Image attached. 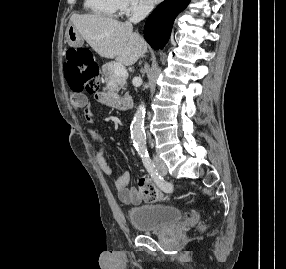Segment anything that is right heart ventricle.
<instances>
[{
    "instance_id": "obj_1",
    "label": "right heart ventricle",
    "mask_w": 286,
    "mask_h": 269,
    "mask_svg": "<svg viewBox=\"0 0 286 269\" xmlns=\"http://www.w3.org/2000/svg\"><path fill=\"white\" fill-rule=\"evenodd\" d=\"M84 7L95 16L116 18L120 12V0H84Z\"/></svg>"
}]
</instances>
